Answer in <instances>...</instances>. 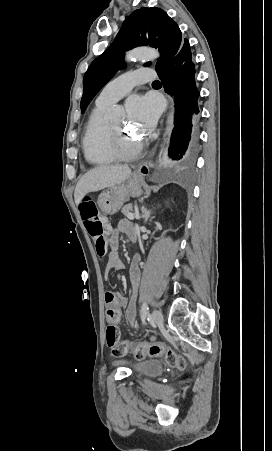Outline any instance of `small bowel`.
<instances>
[{
    "label": "small bowel",
    "mask_w": 272,
    "mask_h": 451,
    "mask_svg": "<svg viewBox=\"0 0 272 451\" xmlns=\"http://www.w3.org/2000/svg\"><path fill=\"white\" fill-rule=\"evenodd\" d=\"M108 226V225H107ZM107 233L110 235V251L107 255V262L105 265V277H108L113 270H121L124 268V263L121 260L118 247H119V235L125 234L132 238L135 233L134 224L127 219L120 220L116 227H109ZM140 256L133 257L130 268L129 277L131 280V298L128 299L122 294L109 292L106 294L107 304V318L109 322L119 323L122 317V310H125V317L128 323L135 327L137 323V311H136V297L138 294L141 269H140Z\"/></svg>",
    "instance_id": "obj_1"
}]
</instances>
